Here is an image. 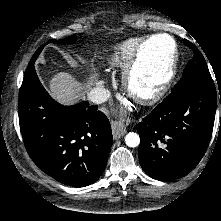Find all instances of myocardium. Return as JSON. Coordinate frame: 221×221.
I'll return each instance as SVG.
<instances>
[{"label":"myocardium","instance_id":"obj_1","mask_svg":"<svg viewBox=\"0 0 221 221\" xmlns=\"http://www.w3.org/2000/svg\"><path fill=\"white\" fill-rule=\"evenodd\" d=\"M157 37H166L172 44L161 76L151 81H139L140 69L148 44ZM178 64V48L176 40L167 33H157L146 36L137 45L132 57L123 71V87L129 97L135 101L152 105L158 102L170 87L176 74Z\"/></svg>","mask_w":221,"mask_h":221}]
</instances>
